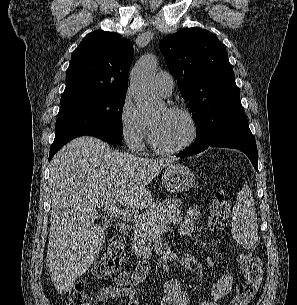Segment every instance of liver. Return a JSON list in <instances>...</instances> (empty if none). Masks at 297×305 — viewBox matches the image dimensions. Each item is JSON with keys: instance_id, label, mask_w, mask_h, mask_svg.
Listing matches in <instances>:
<instances>
[{"instance_id": "liver-1", "label": "liver", "mask_w": 297, "mask_h": 305, "mask_svg": "<svg viewBox=\"0 0 297 305\" xmlns=\"http://www.w3.org/2000/svg\"><path fill=\"white\" fill-rule=\"evenodd\" d=\"M174 161L116 152L89 136L72 140L53 157L46 266L59 294L72 289L103 248L104 229L95 223L98 210L115 203L149 206L153 198L148 184Z\"/></svg>"}]
</instances>
